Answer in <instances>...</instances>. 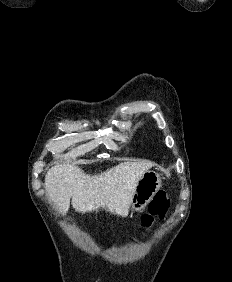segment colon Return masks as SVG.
Instances as JSON below:
<instances>
[{"label": "colon", "mask_w": 232, "mask_h": 282, "mask_svg": "<svg viewBox=\"0 0 232 282\" xmlns=\"http://www.w3.org/2000/svg\"><path fill=\"white\" fill-rule=\"evenodd\" d=\"M170 207V197L167 190L158 191L149 205V212L142 218L145 228L151 227L157 218H163Z\"/></svg>", "instance_id": "obj_1"}]
</instances>
